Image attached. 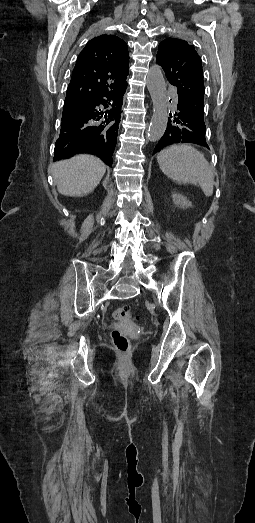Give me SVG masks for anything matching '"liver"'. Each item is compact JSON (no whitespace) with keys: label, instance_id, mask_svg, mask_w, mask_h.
<instances>
[{"label":"liver","instance_id":"liver-1","mask_svg":"<svg viewBox=\"0 0 255 523\" xmlns=\"http://www.w3.org/2000/svg\"><path fill=\"white\" fill-rule=\"evenodd\" d=\"M51 172L59 194L80 198L95 190L106 172V166L96 156L78 154L70 160L55 162Z\"/></svg>","mask_w":255,"mask_h":523}]
</instances>
